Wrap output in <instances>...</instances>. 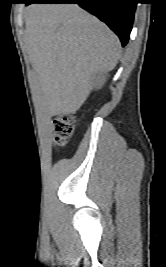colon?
Listing matches in <instances>:
<instances>
[{
	"mask_svg": "<svg viewBox=\"0 0 166 267\" xmlns=\"http://www.w3.org/2000/svg\"><path fill=\"white\" fill-rule=\"evenodd\" d=\"M76 116L72 112H64L55 116L53 123L55 129V143L64 146L73 133Z\"/></svg>",
	"mask_w": 166,
	"mask_h": 267,
	"instance_id": "obj_1",
	"label": "colon"
}]
</instances>
